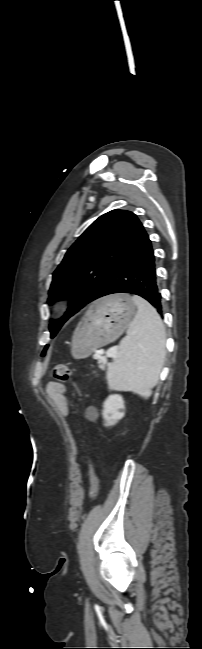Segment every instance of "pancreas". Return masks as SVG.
Wrapping results in <instances>:
<instances>
[{
	"label": "pancreas",
	"mask_w": 202,
	"mask_h": 649,
	"mask_svg": "<svg viewBox=\"0 0 202 649\" xmlns=\"http://www.w3.org/2000/svg\"><path fill=\"white\" fill-rule=\"evenodd\" d=\"M99 362H100V366H99V368H100L101 370H105V368H106V364H107V360L105 359L104 361H99Z\"/></svg>",
	"instance_id": "obj_1"
}]
</instances>
